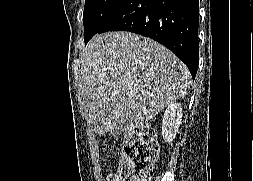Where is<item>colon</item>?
Here are the masks:
<instances>
[{
  "label": "colon",
  "mask_w": 253,
  "mask_h": 181,
  "mask_svg": "<svg viewBox=\"0 0 253 181\" xmlns=\"http://www.w3.org/2000/svg\"><path fill=\"white\" fill-rule=\"evenodd\" d=\"M158 152L154 129L147 124L132 126L125 132L120 170L111 181H149Z\"/></svg>",
  "instance_id": "1"
}]
</instances>
